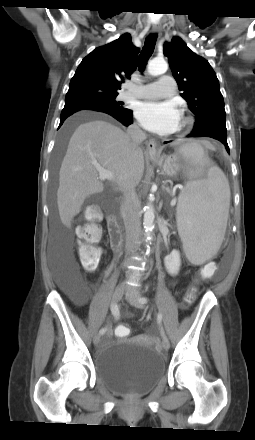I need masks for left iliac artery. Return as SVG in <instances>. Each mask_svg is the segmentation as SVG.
Segmentation results:
<instances>
[{
	"label": "left iliac artery",
	"mask_w": 255,
	"mask_h": 440,
	"mask_svg": "<svg viewBox=\"0 0 255 440\" xmlns=\"http://www.w3.org/2000/svg\"><path fill=\"white\" fill-rule=\"evenodd\" d=\"M147 301H148V300H147L146 297H141V298H140V302L143 303V304H146ZM157 322H158L159 324H161V322H162V314H161V313H158V315H157ZM163 336H164V333H163Z\"/></svg>",
	"instance_id": "obj_1"
}]
</instances>
